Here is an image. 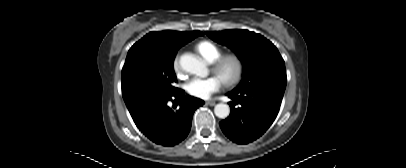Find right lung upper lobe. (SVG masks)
Instances as JSON below:
<instances>
[{
	"label": "right lung upper lobe",
	"mask_w": 406,
	"mask_h": 168,
	"mask_svg": "<svg viewBox=\"0 0 406 168\" xmlns=\"http://www.w3.org/2000/svg\"><path fill=\"white\" fill-rule=\"evenodd\" d=\"M203 35L200 31L178 32V31H161L150 32L142 39L136 42L131 49L146 48L153 50L162 55H173L177 50L193 40L195 37Z\"/></svg>",
	"instance_id": "cb5924a9"
}]
</instances>
